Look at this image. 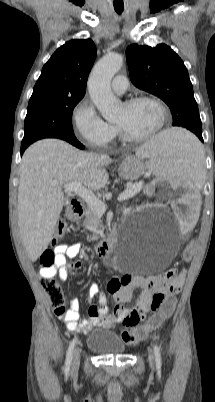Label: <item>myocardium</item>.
Returning a JSON list of instances; mask_svg holds the SVG:
<instances>
[{
	"mask_svg": "<svg viewBox=\"0 0 215 402\" xmlns=\"http://www.w3.org/2000/svg\"><path fill=\"white\" fill-rule=\"evenodd\" d=\"M143 101L152 102L153 104H155L157 106V108L160 111L159 124L153 131H151L150 133H148L146 135L133 136V135L129 134L120 124L116 123V127H117V130H118L121 138L126 142L141 143V142L151 140L154 137H156L164 129V127L166 125L167 118H168L167 108H166L165 104L159 98H157L155 96H152V95L135 96V97L127 99L124 102V105L132 106L136 103L143 102Z\"/></svg>",
	"mask_w": 215,
	"mask_h": 402,
	"instance_id": "obj_1",
	"label": "myocardium"
}]
</instances>
